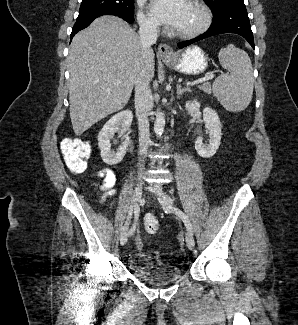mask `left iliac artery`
Masks as SVG:
<instances>
[{
	"mask_svg": "<svg viewBox=\"0 0 298 325\" xmlns=\"http://www.w3.org/2000/svg\"><path fill=\"white\" fill-rule=\"evenodd\" d=\"M164 210L166 212H172V213H175L176 215H178L183 220L186 227L192 232L191 223L183 211H181L180 209L175 208V207L174 208H164Z\"/></svg>",
	"mask_w": 298,
	"mask_h": 325,
	"instance_id": "left-iliac-artery-1",
	"label": "left iliac artery"
}]
</instances>
